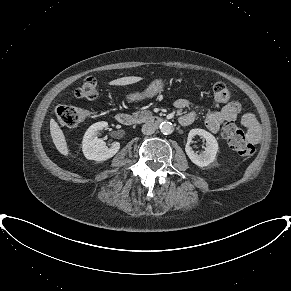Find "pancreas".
Wrapping results in <instances>:
<instances>
[{
	"instance_id": "cf45deb5",
	"label": "pancreas",
	"mask_w": 291,
	"mask_h": 291,
	"mask_svg": "<svg viewBox=\"0 0 291 291\" xmlns=\"http://www.w3.org/2000/svg\"><path fill=\"white\" fill-rule=\"evenodd\" d=\"M133 117L136 123H142L152 118V113L150 111L144 110L141 112L133 113Z\"/></svg>"
}]
</instances>
